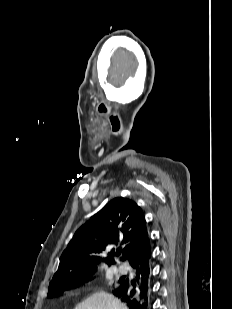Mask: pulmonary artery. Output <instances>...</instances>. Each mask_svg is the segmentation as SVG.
I'll list each match as a JSON object with an SVG mask.
<instances>
[{"instance_id":"1","label":"pulmonary artery","mask_w":232,"mask_h":309,"mask_svg":"<svg viewBox=\"0 0 232 309\" xmlns=\"http://www.w3.org/2000/svg\"><path fill=\"white\" fill-rule=\"evenodd\" d=\"M117 271L119 272V273H127V271H128V269H127V267L126 266H124V265H121V266H119L118 268H117Z\"/></svg>"}]
</instances>
